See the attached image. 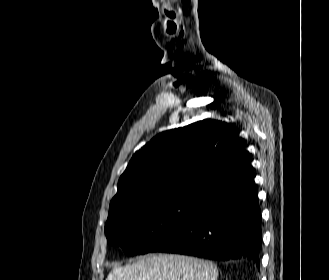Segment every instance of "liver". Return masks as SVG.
I'll return each instance as SVG.
<instances>
[{
    "label": "liver",
    "instance_id": "1",
    "mask_svg": "<svg viewBox=\"0 0 329 280\" xmlns=\"http://www.w3.org/2000/svg\"><path fill=\"white\" fill-rule=\"evenodd\" d=\"M209 261L178 254L148 255L124 267L115 265L106 280H217Z\"/></svg>",
    "mask_w": 329,
    "mask_h": 280
}]
</instances>
